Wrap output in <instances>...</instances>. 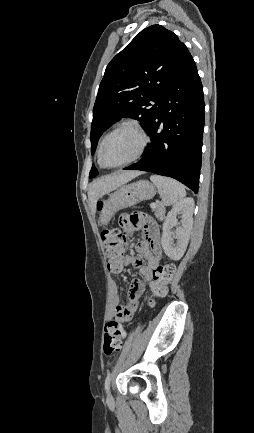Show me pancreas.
<instances>
[{"instance_id": "obj_1", "label": "pancreas", "mask_w": 254, "mask_h": 433, "mask_svg": "<svg viewBox=\"0 0 254 433\" xmlns=\"http://www.w3.org/2000/svg\"><path fill=\"white\" fill-rule=\"evenodd\" d=\"M151 208L154 211L156 218H158L159 220H163L164 214H165L164 206L162 204H156L155 206H152Z\"/></svg>"}]
</instances>
